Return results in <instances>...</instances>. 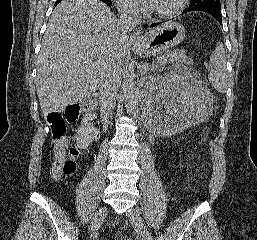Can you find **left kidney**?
<instances>
[{
  "label": "left kidney",
  "mask_w": 257,
  "mask_h": 240,
  "mask_svg": "<svg viewBox=\"0 0 257 240\" xmlns=\"http://www.w3.org/2000/svg\"><path fill=\"white\" fill-rule=\"evenodd\" d=\"M208 95L187 72L172 71L150 80L143 91L144 116L149 129L171 136L206 118Z\"/></svg>",
  "instance_id": "5707ae66"
}]
</instances>
